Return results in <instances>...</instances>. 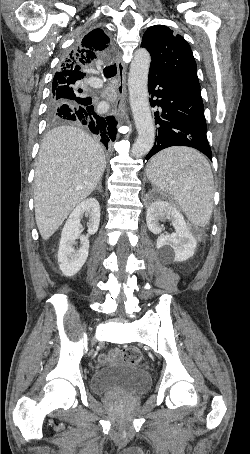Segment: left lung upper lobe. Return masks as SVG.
Returning a JSON list of instances; mask_svg holds the SVG:
<instances>
[{"label":"left lung upper lobe","instance_id":"5c2ea615","mask_svg":"<svg viewBox=\"0 0 250 454\" xmlns=\"http://www.w3.org/2000/svg\"><path fill=\"white\" fill-rule=\"evenodd\" d=\"M141 46L151 55L149 72L172 80L199 83L189 44L168 27H149L143 35Z\"/></svg>","mask_w":250,"mask_h":454}]
</instances>
